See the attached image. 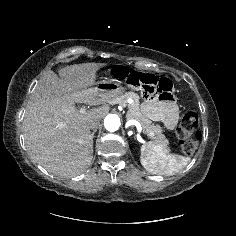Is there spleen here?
I'll use <instances>...</instances> for the list:
<instances>
[{"label": "spleen", "mask_w": 236, "mask_h": 236, "mask_svg": "<svg viewBox=\"0 0 236 236\" xmlns=\"http://www.w3.org/2000/svg\"><path fill=\"white\" fill-rule=\"evenodd\" d=\"M190 157L170 154L163 146L149 142L140 148V162L150 173L171 176L188 165Z\"/></svg>", "instance_id": "3e777b00"}]
</instances>
